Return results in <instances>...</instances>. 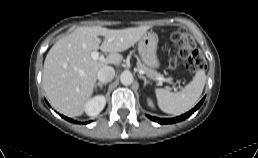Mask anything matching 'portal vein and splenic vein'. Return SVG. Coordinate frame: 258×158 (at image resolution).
Returning <instances> with one entry per match:
<instances>
[{
    "label": "portal vein and splenic vein",
    "mask_w": 258,
    "mask_h": 158,
    "mask_svg": "<svg viewBox=\"0 0 258 158\" xmlns=\"http://www.w3.org/2000/svg\"><path fill=\"white\" fill-rule=\"evenodd\" d=\"M91 58L95 61H97V60L104 61L105 60V58L103 56H100L99 52H97V51H93L91 53ZM139 73L140 74H145V72L143 70H139ZM157 80L160 81V82H168L170 84H173L174 90H176L175 84L170 79H167V78H164V77L160 76V77L157 78Z\"/></svg>",
    "instance_id": "18ae733b"
}]
</instances>
